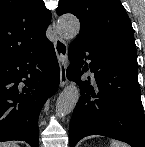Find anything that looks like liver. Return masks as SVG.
Returning <instances> with one entry per match:
<instances>
[{"mask_svg": "<svg viewBox=\"0 0 145 147\" xmlns=\"http://www.w3.org/2000/svg\"><path fill=\"white\" fill-rule=\"evenodd\" d=\"M0 147H19V146L14 142H4V143H0Z\"/></svg>", "mask_w": 145, "mask_h": 147, "instance_id": "6515ba94", "label": "liver"}]
</instances>
